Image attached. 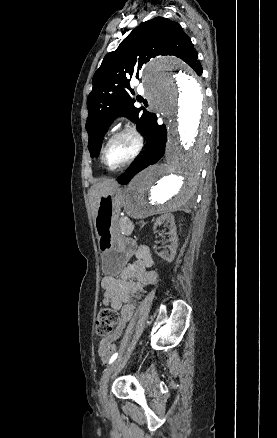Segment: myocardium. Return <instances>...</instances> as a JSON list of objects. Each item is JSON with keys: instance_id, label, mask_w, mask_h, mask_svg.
I'll return each instance as SVG.
<instances>
[{"instance_id": "obj_1", "label": "myocardium", "mask_w": 277, "mask_h": 438, "mask_svg": "<svg viewBox=\"0 0 277 438\" xmlns=\"http://www.w3.org/2000/svg\"><path fill=\"white\" fill-rule=\"evenodd\" d=\"M123 136H128L133 140V142H134L133 151H132L131 155L128 157V159L126 161H124L122 164H120L116 167H111L108 165V163L106 161V157H105L107 148L114 140H116L120 137H123ZM142 147H143V138H142L141 134L139 133V131L135 127H129V126L125 127L123 129H120L119 131L115 132L113 135H111L108 138V140L104 144L102 151H101V161H102L103 165L110 171L121 170V169L129 166L131 163H133L137 159V157L139 156V154L142 150Z\"/></svg>"}]
</instances>
